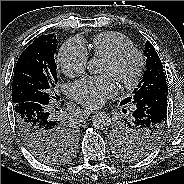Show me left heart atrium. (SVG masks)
Wrapping results in <instances>:
<instances>
[{"instance_id": "39dd6f15", "label": "left heart atrium", "mask_w": 184, "mask_h": 184, "mask_svg": "<svg viewBox=\"0 0 184 184\" xmlns=\"http://www.w3.org/2000/svg\"><path fill=\"white\" fill-rule=\"evenodd\" d=\"M117 93V84L109 75L86 77L76 81L71 86L72 97L80 104L96 108L102 105L106 98Z\"/></svg>"}]
</instances>
